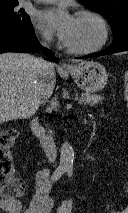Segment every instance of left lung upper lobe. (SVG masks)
Masks as SVG:
<instances>
[{"label":"left lung upper lobe","instance_id":"5c2ea615","mask_svg":"<svg viewBox=\"0 0 128 213\" xmlns=\"http://www.w3.org/2000/svg\"><path fill=\"white\" fill-rule=\"evenodd\" d=\"M81 2L111 23L114 39L128 33V0H81Z\"/></svg>","mask_w":128,"mask_h":213}]
</instances>
